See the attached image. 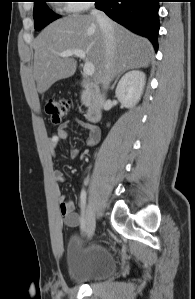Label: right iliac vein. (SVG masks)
I'll use <instances>...</instances> for the list:
<instances>
[{
    "instance_id": "63e3f726",
    "label": "right iliac vein",
    "mask_w": 195,
    "mask_h": 299,
    "mask_svg": "<svg viewBox=\"0 0 195 299\" xmlns=\"http://www.w3.org/2000/svg\"><path fill=\"white\" fill-rule=\"evenodd\" d=\"M96 221H95V214L93 212L92 206L89 203L86 208V224L85 230L88 237H92L95 231Z\"/></svg>"
}]
</instances>
